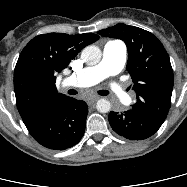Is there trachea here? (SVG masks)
<instances>
[{
  "mask_svg": "<svg viewBox=\"0 0 187 187\" xmlns=\"http://www.w3.org/2000/svg\"><path fill=\"white\" fill-rule=\"evenodd\" d=\"M98 93L103 96H106L109 94V92L107 90H100V91H98ZM68 94L75 95V94H77V91L74 89H71L68 91Z\"/></svg>",
  "mask_w": 187,
  "mask_h": 187,
  "instance_id": "1",
  "label": "trachea"
}]
</instances>
